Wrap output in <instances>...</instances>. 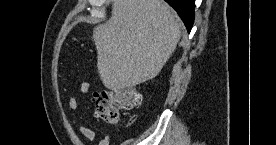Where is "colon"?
<instances>
[{
  "mask_svg": "<svg viewBox=\"0 0 276 145\" xmlns=\"http://www.w3.org/2000/svg\"><path fill=\"white\" fill-rule=\"evenodd\" d=\"M96 114L110 124H117L121 110H133L142 103V94L132 85L108 88L93 94Z\"/></svg>",
  "mask_w": 276,
  "mask_h": 145,
  "instance_id": "obj_1",
  "label": "colon"
}]
</instances>
